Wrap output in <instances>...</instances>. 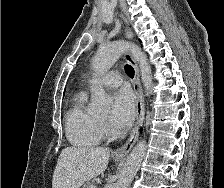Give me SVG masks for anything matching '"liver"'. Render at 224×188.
I'll use <instances>...</instances> for the list:
<instances>
[{"label":"liver","mask_w":224,"mask_h":188,"mask_svg":"<svg viewBox=\"0 0 224 188\" xmlns=\"http://www.w3.org/2000/svg\"><path fill=\"white\" fill-rule=\"evenodd\" d=\"M109 157L108 148H64L53 173L52 188H80L83 183L105 171Z\"/></svg>","instance_id":"obj_1"}]
</instances>
